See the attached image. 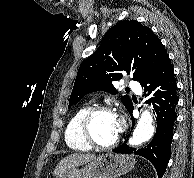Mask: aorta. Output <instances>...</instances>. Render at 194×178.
<instances>
[{"mask_svg": "<svg viewBox=\"0 0 194 178\" xmlns=\"http://www.w3.org/2000/svg\"><path fill=\"white\" fill-rule=\"evenodd\" d=\"M152 123L153 118L151 113L148 110L143 111L129 143L133 146H137L148 141L154 133Z\"/></svg>", "mask_w": 194, "mask_h": 178, "instance_id": "1", "label": "aorta"}]
</instances>
